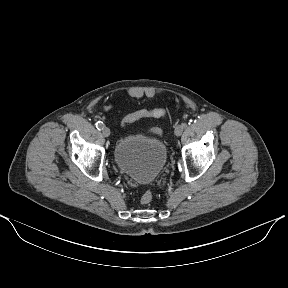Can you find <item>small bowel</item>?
Returning <instances> with one entry per match:
<instances>
[{"mask_svg": "<svg viewBox=\"0 0 288 288\" xmlns=\"http://www.w3.org/2000/svg\"><path fill=\"white\" fill-rule=\"evenodd\" d=\"M111 109V104H106V105H104L103 107H102V110L103 111H108V110H110ZM122 125L124 126V124L122 123Z\"/></svg>", "mask_w": 288, "mask_h": 288, "instance_id": "obj_1", "label": "small bowel"}]
</instances>
